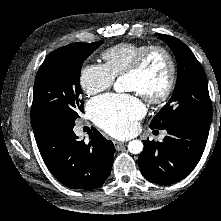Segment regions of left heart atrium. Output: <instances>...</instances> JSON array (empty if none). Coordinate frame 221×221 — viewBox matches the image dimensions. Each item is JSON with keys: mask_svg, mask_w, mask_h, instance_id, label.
I'll return each mask as SVG.
<instances>
[{"mask_svg": "<svg viewBox=\"0 0 221 221\" xmlns=\"http://www.w3.org/2000/svg\"><path fill=\"white\" fill-rule=\"evenodd\" d=\"M146 108L137 94L105 95L94 99L88 112L98 126L114 137L124 139L138 130L137 121Z\"/></svg>", "mask_w": 221, "mask_h": 221, "instance_id": "left-heart-atrium-1", "label": "left heart atrium"}]
</instances>
